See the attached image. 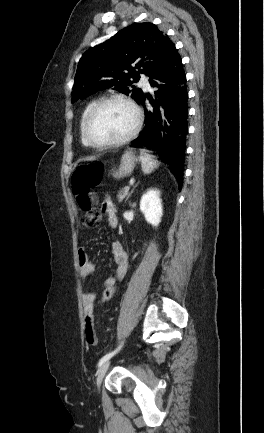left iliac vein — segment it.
Instances as JSON below:
<instances>
[{"label": "left iliac vein", "mask_w": 264, "mask_h": 433, "mask_svg": "<svg viewBox=\"0 0 264 433\" xmlns=\"http://www.w3.org/2000/svg\"><path fill=\"white\" fill-rule=\"evenodd\" d=\"M109 365H110V361L107 360L99 368V371H98V374H97V378H96V384H97L98 388L100 387V385H101V383H102V381H103V379L105 377V374H106V372H107V370L109 368Z\"/></svg>", "instance_id": "left-iliac-vein-1"}]
</instances>
